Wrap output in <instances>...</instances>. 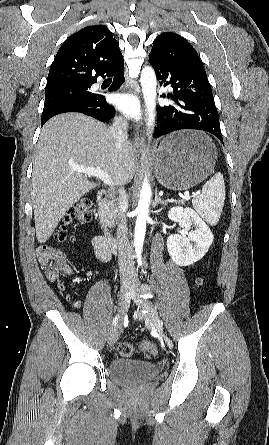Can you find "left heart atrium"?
<instances>
[{"mask_svg": "<svg viewBox=\"0 0 269 445\" xmlns=\"http://www.w3.org/2000/svg\"><path fill=\"white\" fill-rule=\"evenodd\" d=\"M114 103L127 116H139V105L135 98H133L132 96L126 94H117L114 97Z\"/></svg>", "mask_w": 269, "mask_h": 445, "instance_id": "39dd6f15", "label": "left heart atrium"}]
</instances>
